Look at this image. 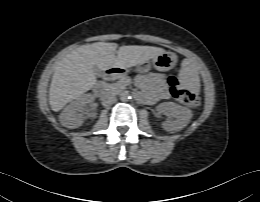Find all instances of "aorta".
<instances>
[{
    "instance_id": "aorta-1",
    "label": "aorta",
    "mask_w": 260,
    "mask_h": 202,
    "mask_svg": "<svg viewBox=\"0 0 260 202\" xmlns=\"http://www.w3.org/2000/svg\"><path fill=\"white\" fill-rule=\"evenodd\" d=\"M131 98L130 94L128 91H123L121 94H120V100L121 101H128L129 99Z\"/></svg>"
}]
</instances>
